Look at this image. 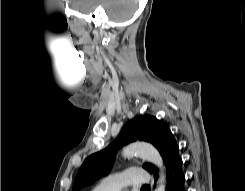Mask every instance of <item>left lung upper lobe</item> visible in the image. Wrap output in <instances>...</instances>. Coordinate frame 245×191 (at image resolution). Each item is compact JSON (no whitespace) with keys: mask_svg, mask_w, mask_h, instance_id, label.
I'll return each instance as SVG.
<instances>
[{"mask_svg":"<svg viewBox=\"0 0 245 191\" xmlns=\"http://www.w3.org/2000/svg\"><path fill=\"white\" fill-rule=\"evenodd\" d=\"M136 140L152 143L160 152L165 164L178 148L173 134L164 122L152 115L138 116L124 125L112 144L90 155L84 161L75 178L72 191H76L108 173L116 152L123 145ZM143 168L150 173L157 171V168L150 163L143 164Z\"/></svg>","mask_w":245,"mask_h":191,"instance_id":"obj_1","label":"left lung upper lobe"}]
</instances>
